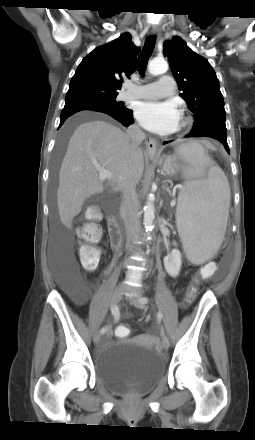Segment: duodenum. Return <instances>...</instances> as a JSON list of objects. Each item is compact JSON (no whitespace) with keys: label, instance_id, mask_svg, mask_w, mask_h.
<instances>
[{"label":"duodenum","instance_id":"1","mask_svg":"<svg viewBox=\"0 0 255 440\" xmlns=\"http://www.w3.org/2000/svg\"><path fill=\"white\" fill-rule=\"evenodd\" d=\"M108 230L113 246L118 249L122 240V233L114 217L108 219Z\"/></svg>","mask_w":255,"mask_h":440}]
</instances>
